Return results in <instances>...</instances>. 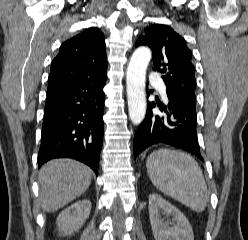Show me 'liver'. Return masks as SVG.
I'll list each match as a JSON object with an SVG mask.
<instances>
[{
	"instance_id": "6515ba94",
	"label": "liver",
	"mask_w": 248,
	"mask_h": 240,
	"mask_svg": "<svg viewBox=\"0 0 248 240\" xmlns=\"http://www.w3.org/2000/svg\"><path fill=\"white\" fill-rule=\"evenodd\" d=\"M92 180V171L72 159H55L39 172L40 202L46 212H54L82 195Z\"/></svg>"
}]
</instances>
